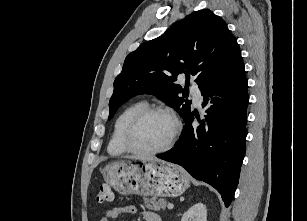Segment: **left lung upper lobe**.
<instances>
[{
	"label": "left lung upper lobe",
	"mask_w": 307,
	"mask_h": 221,
	"mask_svg": "<svg viewBox=\"0 0 307 221\" xmlns=\"http://www.w3.org/2000/svg\"><path fill=\"white\" fill-rule=\"evenodd\" d=\"M238 53L236 38L221 17L209 9L191 13L126 57L114 81L108 119L131 97L152 94L186 120L191 115V101L184 99L190 76H195L203 92L227 70ZM181 74L186 75L185 88L175 83Z\"/></svg>",
	"instance_id": "1"
}]
</instances>
